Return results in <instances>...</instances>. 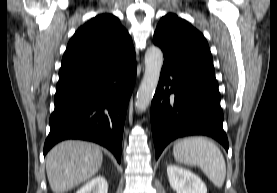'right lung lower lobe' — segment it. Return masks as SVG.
Returning a JSON list of instances; mask_svg holds the SVG:
<instances>
[{"mask_svg":"<svg viewBox=\"0 0 277 193\" xmlns=\"http://www.w3.org/2000/svg\"><path fill=\"white\" fill-rule=\"evenodd\" d=\"M135 80L136 57H131L102 72L59 81L44 155L62 140L81 139L106 147L120 163L124 122Z\"/></svg>","mask_w":277,"mask_h":193,"instance_id":"98d812e1","label":"right lung lower lobe"}]
</instances>
